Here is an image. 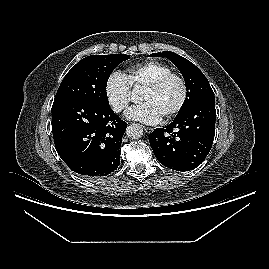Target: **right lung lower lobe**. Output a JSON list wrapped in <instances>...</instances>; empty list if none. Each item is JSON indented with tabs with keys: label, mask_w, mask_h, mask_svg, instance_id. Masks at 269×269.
Listing matches in <instances>:
<instances>
[{
	"label": "right lung lower lobe",
	"mask_w": 269,
	"mask_h": 269,
	"mask_svg": "<svg viewBox=\"0 0 269 269\" xmlns=\"http://www.w3.org/2000/svg\"><path fill=\"white\" fill-rule=\"evenodd\" d=\"M127 123L109 106L91 101H54L52 132L66 165L85 178H99L117 169Z\"/></svg>",
	"instance_id": "98d812e1"
}]
</instances>
